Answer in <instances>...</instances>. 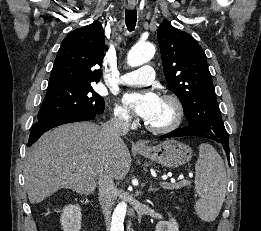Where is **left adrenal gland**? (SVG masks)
Here are the masks:
<instances>
[{
  "label": "left adrenal gland",
  "instance_id": "obj_1",
  "mask_svg": "<svg viewBox=\"0 0 261 231\" xmlns=\"http://www.w3.org/2000/svg\"><path fill=\"white\" fill-rule=\"evenodd\" d=\"M158 190H159V188L152 187V185L149 188V192H157Z\"/></svg>",
  "mask_w": 261,
  "mask_h": 231
}]
</instances>
